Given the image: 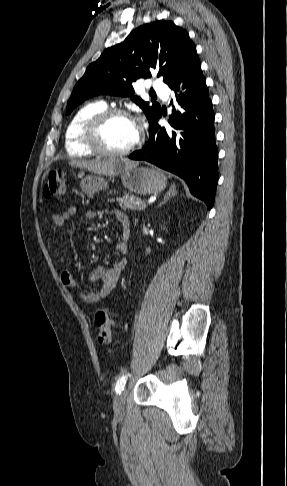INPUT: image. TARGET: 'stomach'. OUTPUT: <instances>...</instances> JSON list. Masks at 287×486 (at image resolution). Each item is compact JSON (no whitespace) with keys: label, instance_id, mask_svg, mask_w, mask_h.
Masks as SVG:
<instances>
[{"label":"stomach","instance_id":"1","mask_svg":"<svg viewBox=\"0 0 287 486\" xmlns=\"http://www.w3.org/2000/svg\"><path fill=\"white\" fill-rule=\"evenodd\" d=\"M121 181L129 191L140 195L159 193L167 184V178L160 170L138 166L124 170ZM80 187L85 194L92 195L108 188V181L101 176L89 175L81 180Z\"/></svg>","mask_w":287,"mask_h":486}]
</instances>
